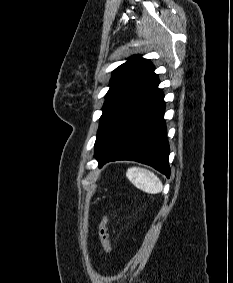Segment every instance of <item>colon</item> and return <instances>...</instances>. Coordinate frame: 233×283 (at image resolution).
Returning a JSON list of instances; mask_svg holds the SVG:
<instances>
[{"label":"colon","mask_w":233,"mask_h":283,"mask_svg":"<svg viewBox=\"0 0 233 283\" xmlns=\"http://www.w3.org/2000/svg\"><path fill=\"white\" fill-rule=\"evenodd\" d=\"M110 214L105 215L99 224V237L101 244L104 250L107 253H112V245L110 242V237L108 233V222H109Z\"/></svg>","instance_id":"obj_1"}]
</instances>
